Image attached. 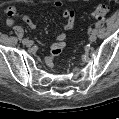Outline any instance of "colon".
I'll list each match as a JSON object with an SVG mask.
<instances>
[{"mask_svg":"<svg viewBox=\"0 0 119 119\" xmlns=\"http://www.w3.org/2000/svg\"><path fill=\"white\" fill-rule=\"evenodd\" d=\"M108 7L106 5H99L93 12V17L97 20H102L108 14Z\"/></svg>","mask_w":119,"mask_h":119,"instance_id":"1","label":"colon"}]
</instances>
